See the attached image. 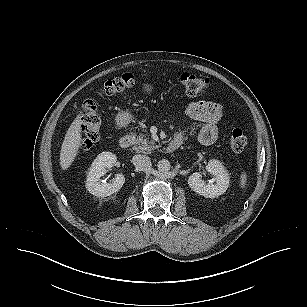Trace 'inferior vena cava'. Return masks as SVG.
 Masks as SVG:
<instances>
[{"label":"inferior vena cava","instance_id":"inferior-vena-cava-1","mask_svg":"<svg viewBox=\"0 0 307 307\" xmlns=\"http://www.w3.org/2000/svg\"><path fill=\"white\" fill-rule=\"evenodd\" d=\"M133 164L141 171L147 172L151 169V160L146 155L137 154L133 156Z\"/></svg>","mask_w":307,"mask_h":307}]
</instances>
